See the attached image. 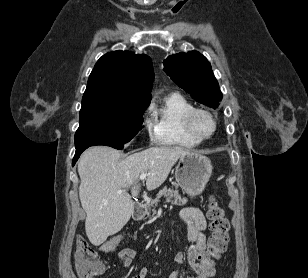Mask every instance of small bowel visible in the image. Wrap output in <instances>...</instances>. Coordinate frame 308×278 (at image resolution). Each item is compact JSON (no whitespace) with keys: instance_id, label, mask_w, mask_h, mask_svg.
<instances>
[{"instance_id":"obj_1","label":"small bowel","mask_w":308,"mask_h":278,"mask_svg":"<svg viewBox=\"0 0 308 278\" xmlns=\"http://www.w3.org/2000/svg\"><path fill=\"white\" fill-rule=\"evenodd\" d=\"M180 218L186 227V238L189 245L186 249L188 267L194 275L187 278H212L215 275L216 262L205 256L207 239L205 230L207 221L202 211L196 207H185L180 211ZM137 252L132 248H123L118 251V259L125 269L129 268ZM175 261L183 264L184 254L178 252L174 257ZM104 272V271H103ZM148 269L142 267L131 278H146ZM169 278H180V271H174Z\"/></svg>"}]
</instances>
